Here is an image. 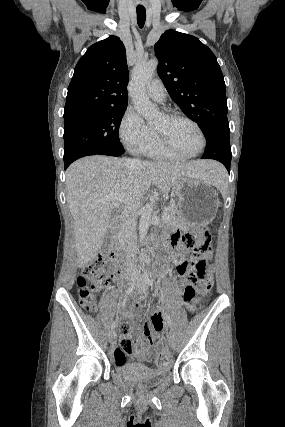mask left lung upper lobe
Instances as JSON below:
<instances>
[{"label": "left lung upper lobe", "instance_id": "1", "mask_svg": "<svg viewBox=\"0 0 285 427\" xmlns=\"http://www.w3.org/2000/svg\"><path fill=\"white\" fill-rule=\"evenodd\" d=\"M170 97L201 128L229 129L225 82L212 51L198 38L167 30L154 47Z\"/></svg>", "mask_w": 285, "mask_h": 427}]
</instances>
